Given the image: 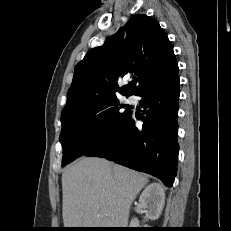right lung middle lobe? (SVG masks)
<instances>
[{
	"label": "right lung middle lobe",
	"instance_id": "1",
	"mask_svg": "<svg viewBox=\"0 0 231 231\" xmlns=\"http://www.w3.org/2000/svg\"><path fill=\"white\" fill-rule=\"evenodd\" d=\"M119 101L114 99L99 106L61 117L62 130L59 137L63 147L62 166L77 157L100 147L124 124L130 110L120 111Z\"/></svg>",
	"mask_w": 231,
	"mask_h": 231
}]
</instances>
